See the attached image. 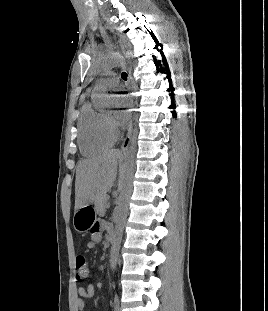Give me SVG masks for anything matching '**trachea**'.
Instances as JSON below:
<instances>
[{
	"label": "trachea",
	"mask_w": 268,
	"mask_h": 311,
	"mask_svg": "<svg viewBox=\"0 0 268 311\" xmlns=\"http://www.w3.org/2000/svg\"><path fill=\"white\" fill-rule=\"evenodd\" d=\"M121 77L123 80H127V73L126 72H122Z\"/></svg>",
	"instance_id": "obj_1"
}]
</instances>
